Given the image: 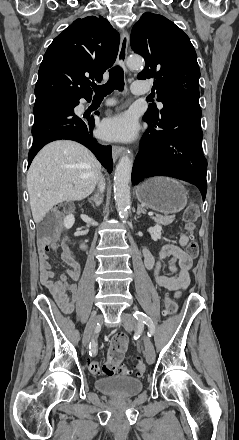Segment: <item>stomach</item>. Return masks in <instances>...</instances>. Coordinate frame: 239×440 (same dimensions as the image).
<instances>
[{
	"instance_id": "stomach-1",
	"label": "stomach",
	"mask_w": 239,
	"mask_h": 440,
	"mask_svg": "<svg viewBox=\"0 0 239 440\" xmlns=\"http://www.w3.org/2000/svg\"><path fill=\"white\" fill-rule=\"evenodd\" d=\"M138 202L161 214H176L185 208L188 192L173 178H150L135 188Z\"/></svg>"
}]
</instances>
